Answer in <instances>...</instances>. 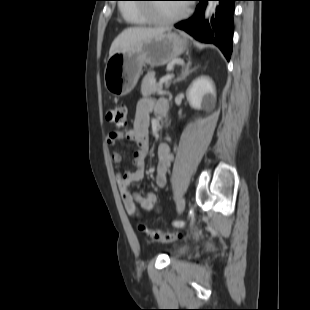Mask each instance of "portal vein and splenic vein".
Instances as JSON below:
<instances>
[{"mask_svg":"<svg viewBox=\"0 0 310 310\" xmlns=\"http://www.w3.org/2000/svg\"><path fill=\"white\" fill-rule=\"evenodd\" d=\"M173 77H174L173 74H168V75H166V76H164V77H162V78L160 79L159 84L162 85L163 83H166V82L172 80Z\"/></svg>","mask_w":310,"mask_h":310,"instance_id":"1","label":"portal vein and splenic vein"}]
</instances>
